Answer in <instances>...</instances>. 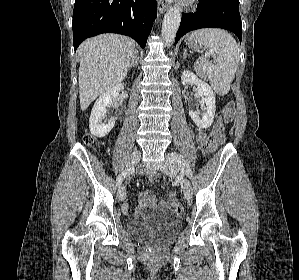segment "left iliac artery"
<instances>
[{
    "mask_svg": "<svg viewBox=\"0 0 299 280\" xmlns=\"http://www.w3.org/2000/svg\"><path fill=\"white\" fill-rule=\"evenodd\" d=\"M169 158L180 165L182 171L185 172L188 178L190 179L193 178L192 170L190 169L189 164L187 163V161L184 159L182 155L178 153H171L169 154Z\"/></svg>",
    "mask_w": 299,
    "mask_h": 280,
    "instance_id": "44dca946",
    "label": "left iliac artery"
}]
</instances>
